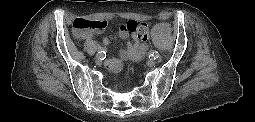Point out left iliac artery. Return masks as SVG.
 Listing matches in <instances>:
<instances>
[{
  "instance_id": "obj_1",
  "label": "left iliac artery",
  "mask_w": 255,
  "mask_h": 122,
  "mask_svg": "<svg viewBox=\"0 0 255 122\" xmlns=\"http://www.w3.org/2000/svg\"><path fill=\"white\" fill-rule=\"evenodd\" d=\"M159 56H160V55H159V53H158L157 51H154V52L151 53V57H152L154 60L158 59Z\"/></svg>"
}]
</instances>
